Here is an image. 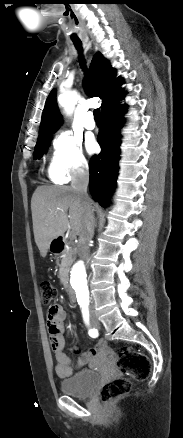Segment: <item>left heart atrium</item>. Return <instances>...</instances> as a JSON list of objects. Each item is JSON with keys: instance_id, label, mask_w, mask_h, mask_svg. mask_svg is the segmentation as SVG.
<instances>
[{"instance_id": "left-heart-atrium-1", "label": "left heart atrium", "mask_w": 183, "mask_h": 438, "mask_svg": "<svg viewBox=\"0 0 183 438\" xmlns=\"http://www.w3.org/2000/svg\"><path fill=\"white\" fill-rule=\"evenodd\" d=\"M86 148L89 153H94L97 150V143L94 138L90 137L87 139Z\"/></svg>"}]
</instances>
